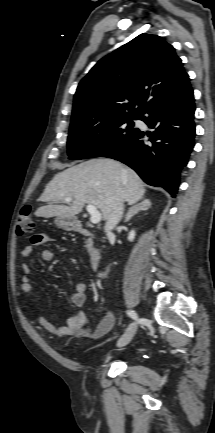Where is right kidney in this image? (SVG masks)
<instances>
[{"instance_id":"right-kidney-1","label":"right kidney","mask_w":215,"mask_h":433,"mask_svg":"<svg viewBox=\"0 0 215 433\" xmlns=\"http://www.w3.org/2000/svg\"><path fill=\"white\" fill-rule=\"evenodd\" d=\"M134 238H135V231L132 230V231L129 232L128 240H129L130 242H132V241L134 240ZM99 276L102 277L103 274H99Z\"/></svg>"}]
</instances>
